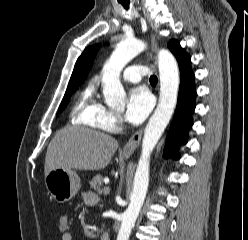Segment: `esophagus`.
I'll use <instances>...</instances> for the list:
<instances>
[{
	"label": "esophagus",
	"instance_id": "1",
	"mask_svg": "<svg viewBox=\"0 0 248 240\" xmlns=\"http://www.w3.org/2000/svg\"><path fill=\"white\" fill-rule=\"evenodd\" d=\"M158 45L155 41L154 38H152L151 40V48L153 51H156ZM143 135V129L141 128L140 130H138L136 133H134L132 135V137L128 140V142L124 145L123 149H122V153L123 154H132L136 148L139 146L141 138Z\"/></svg>",
	"mask_w": 248,
	"mask_h": 240
}]
</instances>
